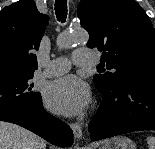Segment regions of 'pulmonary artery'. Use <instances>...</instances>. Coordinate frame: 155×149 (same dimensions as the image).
<instances>
[{"instance_id": "pulmonary-artery-1", "label": "pulmonary artery", "mask_w": 155, "mask_h": 149, "mask_svg": "<svg viewBox=\"0 0 155 149\" xmlns=\"http://www.w3.org/2000/svg\"><path fill=\"white\" fill-rule=\"evenodd\" d=\"M98 61L95 53L87 48L76 49L71 57V60L65 57H60L50 61L43 73L46 77L61 75L69 71L71 63L76 66H91Z\"/></svg>"}]
</instances>
